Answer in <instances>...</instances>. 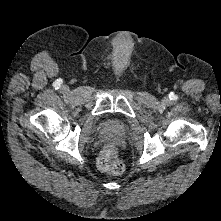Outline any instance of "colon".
Returning <instances> with one entry per match:
<instances>
[{"mask_svg": "<svg viewBox=\"0 0 221 221\" xmlns=\"http://www.w3.org/2000/svg\"><path fill=\"white\" fill-rule=\"evenodd\" d=\"M97 166L101 171L110 174H119L124 169L122 162L118 158L117 150L114 147H108L99 154Z\"/></svg>", "mask_w": 221, "mask_h": 221, "instance_id": "5ec220e1", "label": "colon"}]
</instances>
